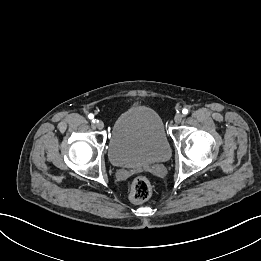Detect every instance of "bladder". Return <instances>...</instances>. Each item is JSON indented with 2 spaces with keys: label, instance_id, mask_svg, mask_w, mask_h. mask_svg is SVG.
<instances>
[{
  "label": "bladder",
  "instance_id": "bladder-1",
  "mask_svg": "<svg viewBox=\"0 0 261 261\" xmlns=\"http://www.w3.org/2000/svg\"><path fill=\"white\" fill-rule=\"evenodd\" d=\"M171 145L159 114L146 106H133L113 123L108 158L116 167H135L164 162Z\"/></svg>",
  "mask_w": 261,
  "mask_h": 261
}]
</instances>
